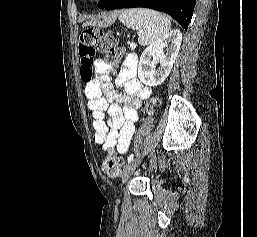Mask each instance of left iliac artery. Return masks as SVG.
<instances>
[{"label":"left iliac artery","instance_id":"44dca946","mask_svg":"<svg viewBox=\"0 0 257 237\" xmlns=\"http://www.w3.org/2000/svg\"><path fill=\"white\" fill-rule=\"evenodd\" d=\"M134 158V154L129 155V157L127 158V162L129 163L131 160H133Z\"/></svg>","mask_w":257,"mask_h":237}]
</instances>
